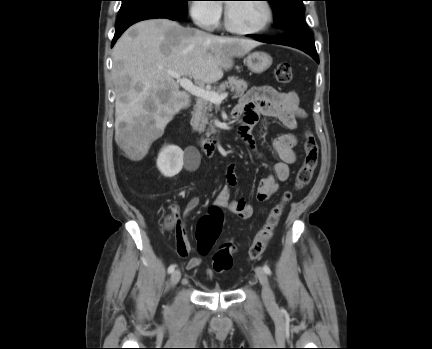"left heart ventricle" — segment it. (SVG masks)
<instances>
[{"mask_svg":"<svg viewBox=\"0 0 432 349\" xmlns=\"http://www.w3.org/2000/svg\"><path fill=\"white\" fill-rule=\"evenodd\" d=\"M228 7L233 25L240 29L259 28L267 18V10L262 2H233Z\"/></svg>","mask_w":432,"mask_h":349,"instance_id":"1","label":"left heart ventricle"}]
</instances>
